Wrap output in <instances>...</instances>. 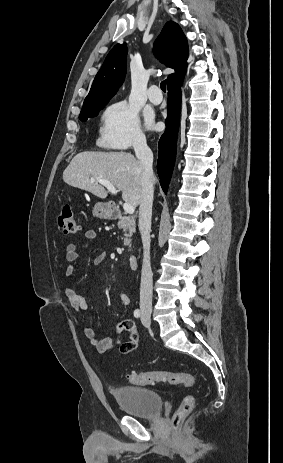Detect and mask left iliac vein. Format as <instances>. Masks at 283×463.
<instances>
[{
	"label": "left iliac vein",
	"instance_id": "left-iliac-vein-1",
	"mask_svg": "<svg viewBox=\"0 0 283 463\" xmlns=\"http://www.w3.org/2000/svg\"><path fill=\"white\" fill-rule=\"evenodd\" d=\"M141 322L144 326L148 327L151 323L150 316H145V314L143 313L141 316Z\"/></svg>",
	"mask_w": 283,
	"mask_h": 463
}]
</instances>
